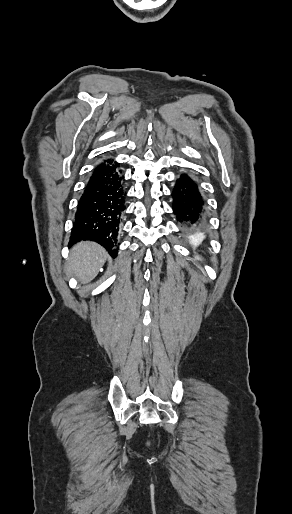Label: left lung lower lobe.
<instances>
[{"label": "left lung lower lobe", "instance_id": "0a47b994", "mask_svg": "<svg viewBox=\"0 0 292 514\" xmlns=\"http://www.w3.org/2000/svg\"><path fill=\"white\" fill-rule=\"evenodd\" d=\"M173 211L186 237L192 242H204L202 234L207 227L205 201L197 182L183 173L172 190Z\"/></svg>", "mask_w": 292, "mask_h": 514}]
</instances>
